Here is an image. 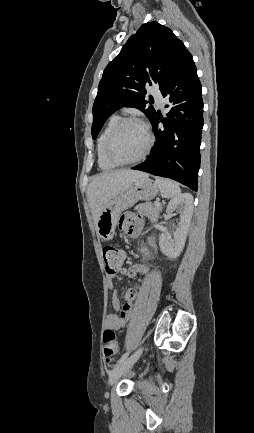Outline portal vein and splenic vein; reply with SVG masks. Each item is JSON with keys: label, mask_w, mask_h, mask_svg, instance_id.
<instances>
[{"label": "portal vein and splenic vein", "mask_w": 254, "mask_h": 433, "mask_svg": "<svg viewBox=\"0 0 254 433\" xmlns=\"http://www.w3.org/2000/svg\"><path fill=\"white\" fill-rule=\"evenodd\" d=\"M154 204H155L156 206L160 205L159 201H156Z\"/></svg>", "instance_id": "obj_1"}]
</instances>
